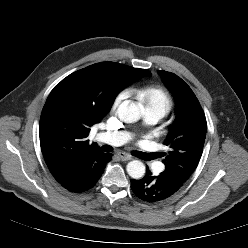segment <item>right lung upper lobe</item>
<instances>
[{
  "instance_id": "1",
  "label": "right lung upper lobe",
  "mask_w": 248,
  "mask_h": 248,
  "mask_svg": "<svg viewBox=\"0 0 248 248\" xmlns=\"http://www.w3.org/2000/svg\"><path fill=\"white\" fill-rule=\"evenodd\" d=\"M123 64L101 62L63 79L49 94L40 118V144L45 162L57 181L85 155L101 151L89 144L90 127L109 111L127 84L119 72Z\"/></svg>"
}]
</instances>
